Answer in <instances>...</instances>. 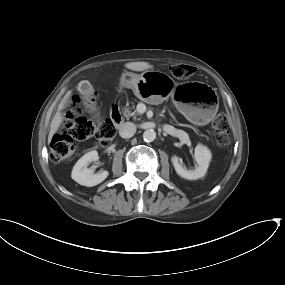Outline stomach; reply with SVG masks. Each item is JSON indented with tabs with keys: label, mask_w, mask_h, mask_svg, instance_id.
Here are the masks:
<instances>
[{
	"label": "stomach",
	"mask_w": 285,
	"mask_h": 285,
	"mask_svg": "<svg viewBox=\"0 0 285 285\" xmlns=\"http://www.w3.org/2000/svg\"><path fill=\"white\" fill-rule=\"evenodd\" d=\"M120 84L132 89L146 103H153L156 94L166 86L167 96L172 98L177 110L196 125L208 124L218 110L216 93L210 86L196 81L176 84L161 71L147 70L141 74L125 72ZM159 96L162 98V95Z\"/></svg>",
	"instance_id": "0dacf381"
}]
</instances>
